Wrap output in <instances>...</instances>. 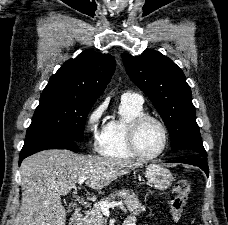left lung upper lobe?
Returning a JSON list of instances; mask_svg holds the SVG:
<instances>
[{
	"instance_id": "left-lung-upper-lobe-1",
	"label": "left lung upper lobe",
	"mask_w": 228,
	"mask_h": 225,
	"mask_svg": "<svg viewBox=\"0 0 228 225\" xmlns=\"http://www.w3.org/2000/svg\"><path fill=\"white\" fill-rule=\"evenodd\" d=\"M121 56L130 79L148 96L166 124L172 150L184 151L185 157L207 156L183 71L154 50L137 57L128 53Z\"/></svg>"
}]
</instances>
